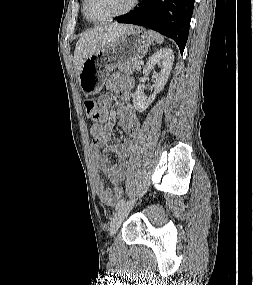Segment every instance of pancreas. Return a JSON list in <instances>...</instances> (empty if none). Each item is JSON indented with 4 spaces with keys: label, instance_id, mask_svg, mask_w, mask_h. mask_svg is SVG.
<instances>
[{
    "label": "pancreas",
    "instance_id": "1",
    "mask_svg": "<svg viewBox=\"0 0 253 285\" xmlns=\"http://www.w3.org/2000/svg\"><path fill=\"white\" fill-rule=\"evenodd\" d=\"M138 64H139L138 62H133V63L125 65V66H120L118 68V70L127 74V75H132Z\"/></svg>",
    "mask_w": 253,
    "mask_h": 285
}]
</instances>
